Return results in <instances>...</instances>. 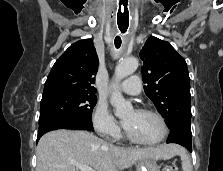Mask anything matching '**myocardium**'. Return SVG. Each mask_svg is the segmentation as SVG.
I'll return each instance as SVG.
<instances>
[{
	"instance_id": "f54148a6",
	"label": "myocardium",
	"mask_w": 223,
	"mask_h": 171,
	"mask_svg": "<svg viewBox=\"0 0 223 171\" xmlns=\"http://www.w3.org/2000/svg\"><path fill=\"white\" fill-rule=\"evenodd\" d=\"M135 111H137L139 113L149 114V115L154 116L160 123L161 135L159 136L158 139H156L154 141L145 142V141H141V140L136 139L125 128V132L124 133H125L126 138L130 142H132L134 144L142 145V146H155V145L160 144L166 138V136L168 134V126H167V123H166L164 117L159 112H157V111H155L153 109H150V108L142 107V108L136 109Z\"/></svg>"
}]
</instances>
